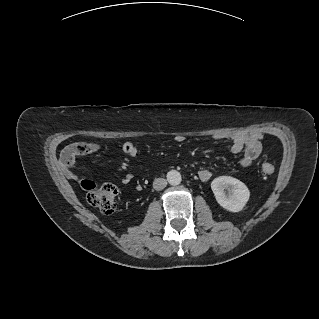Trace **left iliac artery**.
<instances>
[{
  "label": "left iliac artery",
  "instance_id": "44dca946",
  "mask_svg": "<svg viewBox=\"0 0 319 319\" xmlns=\"http://www.w3.org/2000/svg\"><path fill=\"white\" fill-rule=\"evenodd\" d=\"M177 179L180 181V179H181L180 174L177 175Z\"/></svg>",
  "mask_w": 319,
  "mask_h": 319
}]
</instances>
